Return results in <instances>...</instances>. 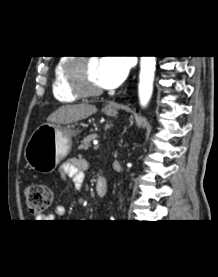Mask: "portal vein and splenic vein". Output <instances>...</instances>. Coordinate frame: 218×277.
I'll use <instances>...</instances> for the list:
<instances>
[{
    "label": "portal vein and splenic vein",
    "mask_w": 218,
    "mask_h": 277,
    "mask_svg": "<svg viewBox=\"0 0 218 277\" xmlns=\"http://www.w3.org/2000/svg\"><path fill=\"white\" fill-rule=\"evenodd\" d=\"M94 150H98V148H99V145H98V142H94Z\"/></svg>",
    "instance_id": "portal-vein-and-splenic-vein-1"
}]
</instances>
